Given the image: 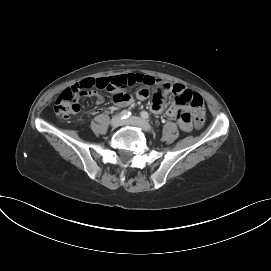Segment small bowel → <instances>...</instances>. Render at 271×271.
Listing matches in <instances>:
<instances>
[{"mask_svg": "<svg viewBox=\"0 0 271 271\" xmlns=\"http://www.w3.org/2000/svg\"><path fill=\"white\" fill-rule=\"evenodd\" d=\"M97 81V87L100 90H108L113 94V101L119 107L128 106L133 103V97L126 92V89L135 84H140L136 92V97L139 100H144L149 96L150 87H156L158 91L155 94L154 99L150 104V109L153 113L159 114L164 110V98L167 95L176 96L170 107L166 110L167 116L178 120L179 127L184 132L192 130L193 124L191 120L190 108L177 101V98L184 94L191 93L181 84L168 83L153 76L142 73H125L114 75L111 77H100L97 79L88 78L81 81L79 84L95 83ZM93 96L96 104H100L103 101V96L93 91L89 93ZM95 109L93 113H97ZM195 114V110H193Z\"/></svg>", "mask_w": 271, "mask_h": 271, "instance_id": "c3829d8e", "label": "small bowel"}]
</instances>
